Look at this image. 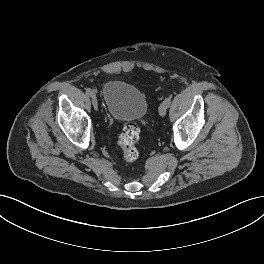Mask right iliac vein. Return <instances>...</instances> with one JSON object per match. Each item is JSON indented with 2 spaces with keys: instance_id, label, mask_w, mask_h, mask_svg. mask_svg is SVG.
<instances>
[{
  "instance_id": "right-iliac-vein-1",
  "label": "right iliac vein",
  "mask_w": 264,
  "mask_h": 264,
  "mask_svg": "<svg viewBox=\"0 0 264 264\" xmlns=\"http://www.w3.org/2000/svg\"><path fill=\"white\" fill-rule=\"evenodd\" d=\"M91 98H92V105H93L94 109L97 110L98 109V101H97L95 94H92Z\"/></svg>"
}]
</instances>
